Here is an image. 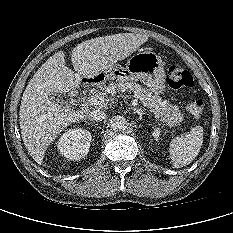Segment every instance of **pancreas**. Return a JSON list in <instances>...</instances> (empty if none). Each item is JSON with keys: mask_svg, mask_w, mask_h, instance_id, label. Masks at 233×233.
Here are the masks:
<instances>
[{"mask_svg": "<svg viewBox=\"0 0 233 233\" xmlns=\"http://www.w3.org/2000/svg\"><path fill=\"white\" fill-rule=\"evenodd\" d=\"M126 89L131 90L134 98L140 100L145 107L149 108L156 117L161 118V121L169 127H176L183 120V115L178 106L169 104L167 101L162 100L160 96L142 88L141 85L135 82L110 83L106 87V90L111 93L121 92Z\"/></svg>", "mask_w": 233, "mask_h": 233, "instance_id": "pancreas-1", "label": "pancreas"}]
</instances>
